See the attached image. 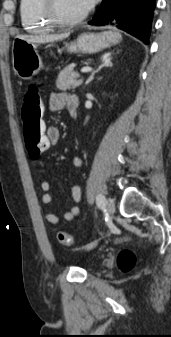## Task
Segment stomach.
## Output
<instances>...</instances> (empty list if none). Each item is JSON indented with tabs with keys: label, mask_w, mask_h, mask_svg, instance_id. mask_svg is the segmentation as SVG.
<instances>
[{
	"label": "stomach",
	"mask_w": 171,
	"mask_h": 337,
	"mask_svg": "<svg viewBox=\"0 0 171 337\" xmlns=\"http://www.w3.org/2000/svg\"><path fill=\"white\" fill-rule=\"evenodd\" d=\"M121 35L113 31L102 33H83L77 41L68 45L70 52L97 53L105 48L118 44ZM12 65L15 74L29 80L43 67L42 59L38 54L37 45L23 39L16 38L12 45Z\"/></svg>",
	"instance_id": "stomach-1"
}]
</instances>
